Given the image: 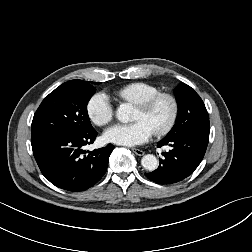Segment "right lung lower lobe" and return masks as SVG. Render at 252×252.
I'll return each instance as SVG.
<instances>
[{
	"label": "right lung lower lobe",
	"mask_w": 252,
	"mask_h": 252,
	"mask_svg": "<svg viewBox=\"0 0 252 252\" xmlns=\"http://www.w3.org/2000/svg\"><path fill=\"white\" fill-rule=\"evenodd\" d=\"M96 130L86 134L41 133L31 136L36 162L47 180L67 191L79 192L92 187L105 174L114 146L82 149L94 142Z\"/></svg>",
	"instance_id": "right-lung-lower-lobe-1"
}]
</instances>
